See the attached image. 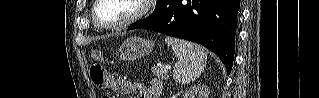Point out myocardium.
<instances>
[{"mask_svg": "<svg viewBox=\"0 0 319 98\" xmlns=\"http://www.w3.org/2000/svg\"><path fill=\"white\" fill-rule=\"evenodd\" d=\"M101 1L103 0H95L94 1V5L92 8V20L94 22V24L101 29H105V30H113V29H119V28H124L126 26H129L139 20H141L142 18H144L150 8H151V4H152V0H135L136 4H137V10L130 15L129 17L112 23V24H104L102 23L99 18H98V7L99 4L101 3Z\"/></svg>", "mask_w": 319, "mask_h": 98, "instance_id": "obj_1", "label": "myocardium"}]
</instances>
